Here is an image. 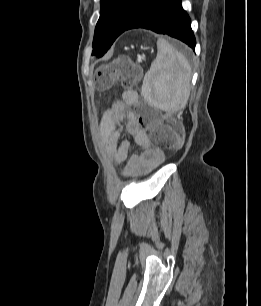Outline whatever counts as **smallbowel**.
Segmentation results:
<instances>
[{
	"mask_svg": "<svg viewBox=\"0 0 261 306\" xmlns=\"http://www.w3.org/2000/svg\"><path fill=\"white\" fill-rule=\"evenodd\" d=\"M137 101L136 91H125L121 100L111 105L100 128V138L105 151L115 163H125L122 173L126 177L138 176L164 161V153L152 146L146 130L131 111V107ZM121 124L125 125L128 135L138 150L130 157H128L130 142L118 140Z\"/></svg>",
	"mask_w": 261,
	"mask_h": 306,
	"instance_id": "c3829d8e",
	"label": "small bowel"
}]
</instances>
